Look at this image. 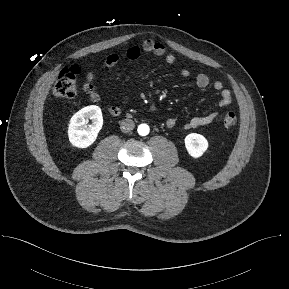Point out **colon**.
<instances>
[{
    "label": "colon",
    "mask_w": 289,
    "mask_h": 289,
    "mask_svg": "<svg viewBox=\"0 0 289 289\" xmlns=\"http://www.w3.org/2000/svg\"><path fill=\"white\" fill-rule=\"evenodd\" d=\"M80 68L78 66H70L64 68L54 87L53 93L57 97L71 98L74 97L78 91V75ZM237 123V116L234 112L229 111L223 117V125L225 128H232Z\"/></svg>",
    "instance_id": "5ec220e1"
}]
</instances>
